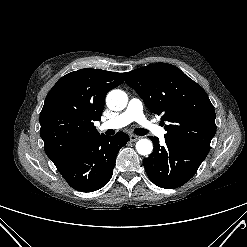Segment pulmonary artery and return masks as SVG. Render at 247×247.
I'll return each mask as SVG.
<instances>
[{
    "instance_id": "pulmonary-artery-1",
    "label": "pulmonary artery",
    "mask_w": 247,
    "mask_h": 247,
    "mask_svg": "<svg viewBox=\"0 0 247 247\" xmlns=\"http://www.w3.org/2000/svg\"><path fill=\"white\" fill-rule=\"evenodd\" d=\"M133 121L139 123L141 126H143L145 129H147L157 137H164L165 130L146 118L143 113L142 102L138 98H132L129 101L127 108L122 113L102 123L100 125V129H119Z\"/></svg>"
}]
</instances>
